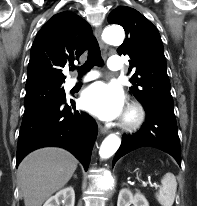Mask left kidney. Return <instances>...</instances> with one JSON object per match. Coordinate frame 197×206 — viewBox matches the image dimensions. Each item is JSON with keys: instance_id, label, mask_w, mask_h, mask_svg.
I'll list each match as a JSON object with an SVG mask.
<instances>
[{"instance_id": "left-kidney-1", "label": "left kidney", "mask_w": 197, "mask_h": 206, "mask_svg": "<svg viewBox=\"0 0 197 206\" xmlns=\"http://www.w3.org/2000/svg\"><path fill=\"white\" fill-rule=\"evenodd\" d=\"M149 206L147 199L140 193H133L129 189H121L118 195L117 206Z\"/></svg>"}]
</instances>
